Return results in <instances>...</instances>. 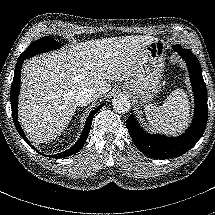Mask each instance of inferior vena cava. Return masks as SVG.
Masks as SVG:
<instances>
[{"mask_svg": "<svg viewBox=\"0 0 215 215\" xmlns=\"http://www.w3.org/2000/svg\"><path fill=\"white\" fill-rule=\"evenodd\" d=\"M99 97L100 94L96 90L83 87L75 92V104L77 106H85Z\"/></svg>", "mask_w": 215, "mask_h": 215, "instance_id": "inferior-vena-cava-1", "label": "inferior vena cava"}]
</instances>
